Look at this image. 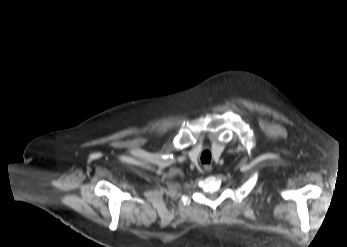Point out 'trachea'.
Wrapping results in <instances>:
<instances>
[{
	"instance_id": "obj_1",
	"label": "trachea",
	"mask_w": 347,
	"mask_h": 247,
	"mask_svg": "<svg viewBox=\"0 0 347 247\" xmlns=\"http://www.w3.org/2000/svg\"><path fill=\"white\" fill-rule=\"evenodd\" d=\"M201 162L202 163H210L211 162V154L209 151L206 150L201 154Z\"/></svg>"
}]
</instances>
